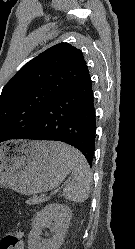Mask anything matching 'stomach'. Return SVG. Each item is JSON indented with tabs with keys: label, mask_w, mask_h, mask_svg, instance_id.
Segmentation results:
<instances>
[{
	"label": "stomach",
	"mask_w": 135,
	"mask_h": 249,
	"mask_svg": "<svg viewBox=\"0 0 135 249\" xmlns=\"http://www.w3.org/2000/svg\"><path fill=\"white\" fill-rule=\"evenodd\" d=\"M48 141H12L0 146V185L24 195L58 187L71 163Z\"/></svg>",
	"instance_id": "0dacf381"
}]
</instances>
